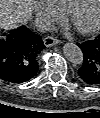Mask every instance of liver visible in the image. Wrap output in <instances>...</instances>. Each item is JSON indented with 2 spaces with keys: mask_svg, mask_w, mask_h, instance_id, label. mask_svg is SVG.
Returning a JSON list of instances; mask_svg holds the SVG:
<instances>
[{
  "mask_svg": "<svg viewBox=\"0 0 100 118\" xmlns=\"http://www.w3.org/2000/svg\"><path fill=\"white\" fill-rule=\"evenodd\" d=\"M32 9V0H0L1 28L6 30L25 24Z\"/></svg>",
  "mask_w": 100,
  "mask_h": 118,
  "instance_id": "1",
  "label": "liver"
}]
</instances>
